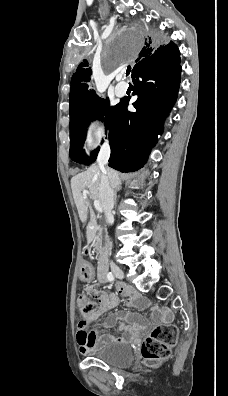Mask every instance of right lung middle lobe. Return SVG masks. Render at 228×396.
I'll list each match as a JSON object with an SVG mask.
<instances>
[{
    "label": "right lung middle lobe",
    "instance_id": "obj_1",
    "mask_svg": "<svg viewBox=\"0 0 228 396\" xmlns=\"http://www.w3.org/2000/svg\"><path fill=\"white\" fill-rule=\"evenodd\" d=\"M118 105L109 107L108 98H98L88 108L70 117V158L76 162L90 164V160L84 159L83 145L86 137V127L96 119L106 115L105 125L110 128L114 113ZM99 147L92 153V161L96 159Z\"/></svg>",
    "mask_w": 228,
    "mask_h": 396
}]
</instances>
